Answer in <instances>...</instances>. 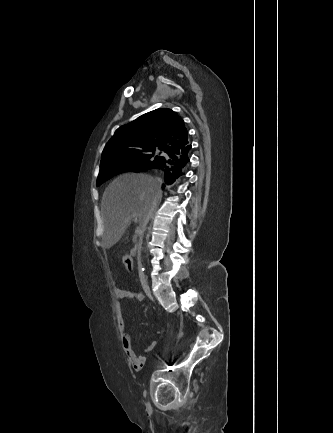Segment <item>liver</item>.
<instances>
[{
  "label": "liver",
  "mask_w": 333,
  "mask_h": 433,
  "mask_svg": "<svg viewBox=\"0 0 333 433\" xmlns=\"http://www.w3.org/2000/svg\"><path fill=\"white\" fill-rule=\"evenodd\" d=\"M161 195L157 180L147 174H125L110 183L101 201L102 248L110 249L119 242L130 227L132 214H136L142 230L144 218L152 215Z\"/></svg>",
  "instance_id": "1"
}]
</instances>
